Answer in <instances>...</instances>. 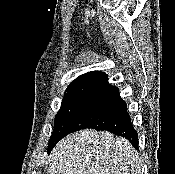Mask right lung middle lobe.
Instances as JSON below:
<instances>
[{
  "mask_svg": "<svg viewBox=\"0 0 175 174\" xmlns=\"http://www.w3.org/2000/svg\"><path fill=\"white\" fill-rule=\"evenodd\" d=\"M88 95L89 94H68L64 96L60 110L55 117L54 129L49 141V146L57 143L62 138L70 121L85 102Z\"/></svg>",
  "mask_w": 175,
  "mask_h": 174,
  "instance_id": "right-lung-middle-lobe-1",
  "label": "right lung middle lobe"
}]
</instances>
